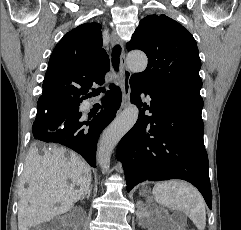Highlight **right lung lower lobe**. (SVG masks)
Returning <instances> with one entry per match:
<instances>
[{"instance_id":"1","label":"right lung lower lobe","mask_w":241,"mask_h":230,"mask_svg":"<svg viewBox=\"0 0 241 230\" xmlns=\"http://www.w3.org/2000/svg\"><path fill=\"white\" fill-rule=\"evenodd\" d=\"M103 101L104 109L97 115L83 118L82 113L75 112L71 104L65 103L56 108L41 104L37 109L32 131L35 139L65 145L79 153L92 167H96V146L103 129L114 119L121 105L122 94L119 87L112 85ZM76 120L64 127H52V121L73 115Z\"/></svg>"}]
</instances>
